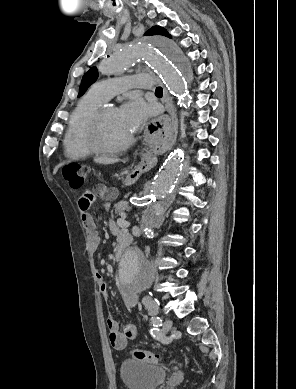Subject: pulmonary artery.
I'll list each match as a JSON object with an SVG mask.
<instances>
[{"instance_id":"1","label":"pulmonary artery","mask_w":296,"mask_h":389,"mask_svg":"<svg viewBox=\"0 0 296 389\" xmlns=\"http://www.w3.org/2000/svg\"><path fill=\"white\" fill-rule=\"evenodd\" d=\"M151 86L152 77L147 74H139L96 82L90 91L105 100H109L130 88H150Z\"/></svg>"}]
</instances>
